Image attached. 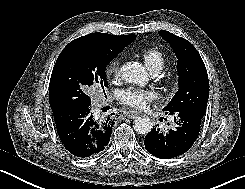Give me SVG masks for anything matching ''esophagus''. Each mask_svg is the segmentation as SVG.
I'll list each match as a JSON object with an SVG mask.
<instances>
[{"label": "esophagus", "mask_w": 245, "mask_h": 189, "mask_svg": "<svg viewBox=\"0 0 245 189\" xmlns=\"http://www.w3.org/2000/svg\"><path fill=\"white\" fill-rule=\"evenodd\" d=\"M139 113L137 111H128L126 113L127 118L134 119Z\"/></svg>", "instance_id": "obj_1"}]
</instances>
